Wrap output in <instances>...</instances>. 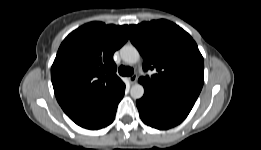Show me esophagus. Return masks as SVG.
<instances>
[{
    "label": "esophagus",
    "instance_id": "obj_1",
    "mask_svg": "<svg viewBox=\"0 0 261 150\" xmlns=\"http://www.w3.org/2000/svg\"><path fill=\"white\" fill-rule=\"evenodd\" d=\"M136 80H137V75L135 74L129 77V81L131 84H134Z\"/></svg>",
    "mask_w": 261,
    "mask_h": 150
}]
</instances>
